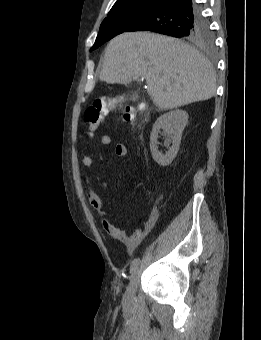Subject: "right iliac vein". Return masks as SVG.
I'll return each mask as SVG.
<instances>
[{
    "label": "right iliac vein",
    "mask_w": 261,
    "mask_h": 340,
    "mask_svg": "<svg viewBox=\"0 0 261 340\" xmlns=\"http://www.w3.org/2000/svg\"><path fill=\"white\" fill-rule=\"evenodd\" d=\"M138 276H139V268L137 267L132 272L129 285H128V287L125 291L124 297H123L124 302H128L132 299V297L135 293L136 287H137Z\"/></svg>",
    "instance_id": "right-iliac-vein-1"
}]
</instances>
